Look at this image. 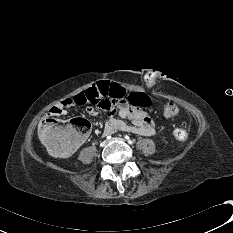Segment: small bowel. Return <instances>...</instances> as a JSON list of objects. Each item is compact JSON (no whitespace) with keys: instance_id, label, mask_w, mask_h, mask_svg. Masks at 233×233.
<instances>
[{"instance_id":"c3829d8e","label":"small bowel","mask_w":233,"mask_h":233,"mask_svg":"<svg viewBox=\"0 0 233 233\" xmlns=\"http://www.w3.org/2000/svg\"><path fill=\"white\" fill-rule=\"evenodd\" d=\"M113 98L111 95L100 99L96 106L93 105L88 108L90 111L96 109L101 114H107L108 119L104 126L106 133L124 131L142 136L155 135L156 129L152 119L145 110L131 107L124 99L115 101L112 100ZM74 106L76 105L73 103L72 98H66L58 106L52 107L48 111L46 118L66 115L67 110ZM126 120H130L131 124H128Z\"/></svg>"}]
</instances>
